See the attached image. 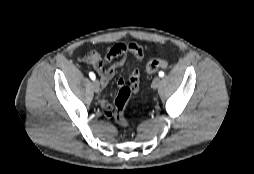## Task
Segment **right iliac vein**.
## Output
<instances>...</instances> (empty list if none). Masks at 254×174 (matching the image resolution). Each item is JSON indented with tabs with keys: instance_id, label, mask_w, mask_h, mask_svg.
I'll list each match as a JSON object with an SVG mask.
<instances>
[{
	"instance_id": "obj_1",
	"label": "right iliac vein",
	"mask_w": 254,
	"mask_h": 174,
	"mask_svg": "<svg viewBox=\"0 0 254 174\" xmlns=\"http://www.w3.org/2000/svg\"><path fill=\"white\" fill-rule=\"evenodd\" d=\"M92 87L95 93H99L100 92V83L98 80H94L92 82Z\"/></svg>"
}]
</instances>
